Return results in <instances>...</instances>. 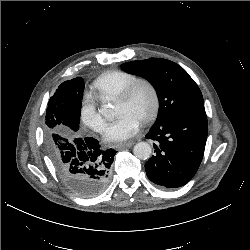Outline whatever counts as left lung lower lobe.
<instances>
[{
	"label": "left lung lower lobe",
	"instance_id": "obj_1",
	"mask_svg": "<svg viewBox=\"0 0 250 250\" xmlns=\"http://www.w3.org/2000/svg\"><path fill=\"white\" fill-rule=\"evenodd\" d=\"M207 133L204 109L184 112L154 124L146 135L156 141V155L145 164L148 178L168 189L187 184L202 161Z\"/></svg>",
	"mask_w": 250,
	"mask_h": 250
}]
</instances>
